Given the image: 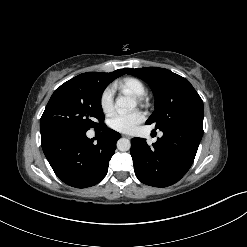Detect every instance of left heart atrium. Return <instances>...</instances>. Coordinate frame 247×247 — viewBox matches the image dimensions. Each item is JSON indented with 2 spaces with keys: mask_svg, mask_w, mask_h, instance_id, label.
Instances as JSON below:
<instances>
[{
  "mask_svg": "<svg viewBox=\"0 0 247 247\" xmlns=\"http://www.w3.org/2000/svg\"><path fill=\"white\" fill-rule=\"evenodd\" d=\"M144 120V115L140 111L129 113H116L110 119V127L116 131L129 133Z\"/></svg>",
  "mask_w": 247,
  "mask_h": 247,
  "instance_id": "1",
  "label": "left heart atrium"
}]
</instances>
